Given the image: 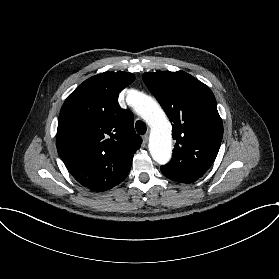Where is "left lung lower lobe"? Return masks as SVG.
<instances>
[{
    "instance_id": "left-lung-lower-lobe-1",
    "label": "left lung lower lobe",
    "mask_w": 279,
    "mask_h": 279,
    "mask_svg": "<svg viewBox=\"0 0 279 279\" xmlns=\"http://www.w3.org/2000/svg\"><path fill=\"white\" fill-rule=\"evenodd\" d=\"M161 172L163 173L164 176H166L167 178L177 181V182H182V183H192L196 180H193L191 178L185 177L183 175H180L176 172L170 171L166 168H164L163 166L161 167Z\"/></svg>"
}]
</instances>
